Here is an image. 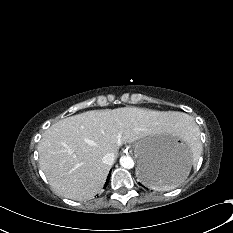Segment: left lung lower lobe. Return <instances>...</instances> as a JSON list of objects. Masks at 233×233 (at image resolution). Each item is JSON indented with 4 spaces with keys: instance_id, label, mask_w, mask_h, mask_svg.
I'll return each instance as SVG.
<instances>
[{
    "instance_id": "1",
    "label": "left lung lower lobe",
    "mask_w": 233,
    "mask_h": 233,
    "mask_svg": "<svg viewBox=\"0 0 233 233\" xmlns=\"http://www.w3.org/2000/svg\"><path fill=\"white\" fill-rule=\"evenodd\" d=\"M180 174L181 169L178 165L149 163L141 170L139 179L147 187L149 184H153L156 186L155 188H163L177 181Z\"/></svg>"
}]
</instances>
